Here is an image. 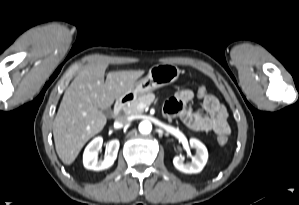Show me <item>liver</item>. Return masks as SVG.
<instances>
[{"label":"liver","instance_id":"obj_1","mask_svg":"<svg viewBox=\"0 0 299 205\" xmlns=\"http://www.w3.org/2000/svg\"><path fill=\"white\" fill-rule=\"evenodd\" d=\"M107 64L82 70L66 89L53 123L56 152L70 165L85 143L102 131L107 118L101 111L111 107L134 85L144 70L112 71L104 81Z\"/></svg>","mask_w":299,"mask_h":205}]
</instances>
